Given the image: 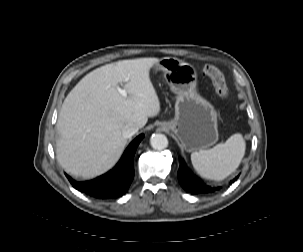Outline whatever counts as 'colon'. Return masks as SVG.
Listing matches in <instances>:
<instances>
[{
	"label": "colon",
	"mask_w": 303,
	"mask_h": 252,
	"mask_svg": "<svg viewBox=\"0 0 303 252\" xmlns=\"http://www.w3.org/2000/svg\"><path fill=\"white\" fill-rule=\"evenodd\" d=\"M203 73L211 79L218 96L227 99L229 92L223 73L212 65H205Z\"/></svg>",
	"instance_id": "1"
}]
</instances>
